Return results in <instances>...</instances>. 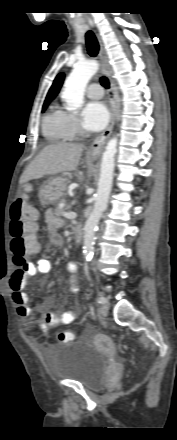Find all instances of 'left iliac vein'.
Masks as SVG:
<instances>
[{
	"label": "left iliac vein",
	"mask_w": 177,
	"mask_h": 440,
	"mask_svg": "<svg viewBox=\"0 0 177 440\" xmlns=\"http://www.w3.org/2000/svg\"><path fill=\"white\" fill-rule=\"evenodd\" d=\"M105 303L100 307L99 311L103 316H107L108 314V309H109V302L107 300V298H105Z\"/></svg>",
	"instance_id": "1"
}]
</instances>
